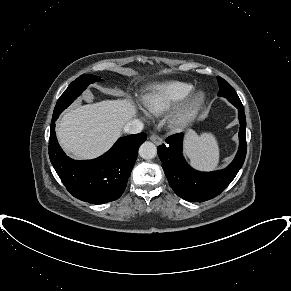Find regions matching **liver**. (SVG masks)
Returning a JSON list of instances; mask_svg holds the SVG:
<instances>
[{
    "label": "liver",
    "mask_w": 291,
    "mask_h": 291,
    "mask_svg": "<svg viewBox=\"0 0 291 291\" xmlns=\"http://www.w3.org/2000/svg\"><path fill=\"white\" fill-rule=\"evenodd\" d=\"M136 113L130 99L80 105L62 116L57 128L59 143L76 159L98 157L113 145Z\"/></svg>",
    "instance_id": "1"
}]
</instances>
